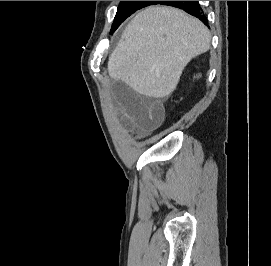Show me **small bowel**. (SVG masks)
Instances as JSON below:
<instances>
[{
    "mask_svg": "<svg viewBox=\"0 0 271 266\" xmlns=\"http://www.w3.org/2000/svg\"><path fill=\"white\" fill-rule=\"evenodd\" d=\"M114 74V94L118 112L125 125L141 133L157 127L164 118L162 100L143 97L131 87L133 73L129 66L116 68Z\"/></svg>",
    "mask_w": 271,
    "mask_h": 266,
    "instance_id": "small-bowel-1",
    "label": "small bowel"
}]
</instances>
